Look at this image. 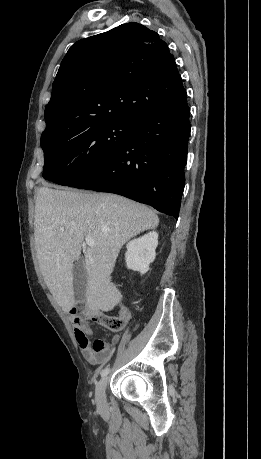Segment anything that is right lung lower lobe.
I'll list each match as a JSON object with an SVG mask.
<instances>
[{
  "label": "right lung lower lobe",
  "mask_w": 261,
  "mask_h": 459,
  "mask_svg": "<svg viewBox=\"0 0 261 459\" xmlns=\"http://www.w3.org/2000/svg\"><path fill=\"white\" fill-rule=\"evenodd\" d=\"M187 94L139 120L110 159L68 186L110 192L179 215L190 135Z\"/></svg>",
  "instance_id": "obj_1"
}]
</instances>
